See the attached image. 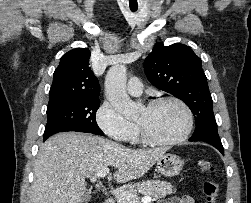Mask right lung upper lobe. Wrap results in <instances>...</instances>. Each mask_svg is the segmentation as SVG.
<instances>
[{
	"label": "right lung upper lobe",
	"instance_id": "right-lung-upper-lobe-1",
	"mask_svg": "<svg viewBox=\"0 0 251 203\" xmlns=\"http://www.w3.org/2000/svg\"><path fill=\"white\" fill-rule=\"evenodd\" d=\"M90 51L76 48L62 56L54 72L48 107L99 97V82L89 67Z\"/></svg>",
	"mask_w": 251,
	"mask_h": 203
}]
</instances>
